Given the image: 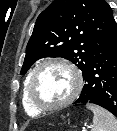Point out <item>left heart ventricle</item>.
Returning a JSON list of instances; mask_svg holds the SVG:
<instances>
[{
	"label": "left heart ventricle",
	"instance_id": "b2bd125f",
	"mask_svg": "<svg viewBox=\"0 0 117 131\" xmlns=\"http://www.w3.org/2000/svg\"><path fill=\"white\" fill-rule=\"evenodd\" d=\"M74 84V76L67 68L49 65L38 73L34 83V94L41 103L54 105L72 93Z\"/></svg>",
	"mask_w": 117,
	"mask_h": 131
}]
</instances>
